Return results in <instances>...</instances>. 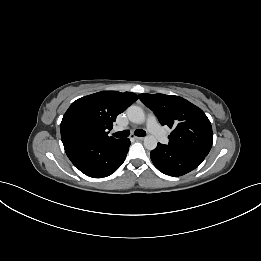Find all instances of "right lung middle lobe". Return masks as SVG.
Masks as SVG:
<instances>
[{
    "label": "right lung middle lobe",
    "mask_w": 261,
    "mask_h": 261,
    "mask_svg": "<svg viewBox=\"0 0 261 261\" xmlns=\"http://www.w3.org/2000/svg\"><path fill=\"white\" fill-rule=\"evenodd\" d=\"M72 137L75 138V139H80V138L82 137V132H81V130L75 129V130L72 132Z\"/></svg>",
    "instance_id": "right-lung-middle-lobe-1"
}]
</instances>
